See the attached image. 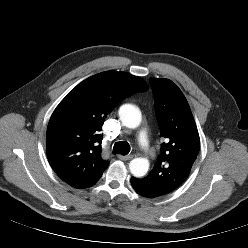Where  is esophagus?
I'll return each instance as SVG.
<instances>
[{
  "instance_id": "1",
  "label": "esophagus",
  "mask_w": 248,
  "mask_h": 248,
  "mask_svg": "<svg viewBox=\"0 0 248 248\" xmlns=\"http://www.w3.org/2000/svg\"><path fill=\"white\" fill-rule=\"evenodd\" d=\"M118 158L123 161L131 160L133 158V155H118Z\"/></svg>"
}]
</instances>
